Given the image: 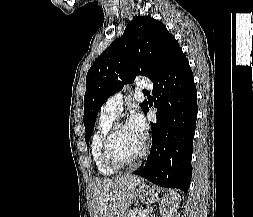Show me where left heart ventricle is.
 Listing matches in <instances>:
<instances>
[{"label":"left heart ventricle","mask_w":253,"mask_h":217,"mask_svg":"<svg viewBox=\"0 0 253 217\" xmlns=\"http://www.w3.org/2000/svg\"><path fill=\"white\" fill-rule=\"evenodd\" d=\"M143 140L127 125L117 131L111 144L112 154L119 160L127 162L136 157L142 148Z\"/></svg>","instance_id":"1"}]
</instances>
